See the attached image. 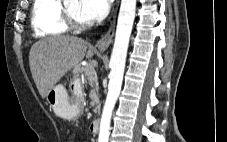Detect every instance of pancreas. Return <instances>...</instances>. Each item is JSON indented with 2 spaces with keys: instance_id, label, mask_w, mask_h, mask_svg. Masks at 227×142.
<instances>
[{
  "instance_id": "1",
  "label": "pancreas",
  "mask_w": 227,
  "mask_h": 142,
  "mask_svg": "<svg viewBox=\"0 0 227 142\" xmlns=\"http://www.w3.org/2000/svg\"><path fill=\"white\" fill-rule=\"evenodd\" d=\"M75 80H78L80 82L81 90H84V84L88 83L90 85V93H89V96L91 98L90 104L94 108L95 112H99V110H100V99H99V94H98V85H97V81H96L95 77L93 75L91 77H88L85 74L83 80L79 76H76Z\"/></svg>"
}]
</instances>
